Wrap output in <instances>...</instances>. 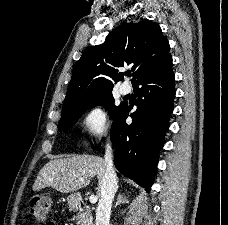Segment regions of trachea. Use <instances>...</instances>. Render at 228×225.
Returning a JSON list of instances; mask_svg holds the SVG:
<instances>
[{"instance_id":"3493384b","label":"trachea","mask_w":228,"mask_h":225,"mask_svg":"<svg viewBox=\"0 0 228 225\" xmlns=\"http://www.w3.org/2000/svg\"><path fill=\"white\" fill-rule=\"evenodd\" d=\"M127 75L130 76L131 75V72L127 73Z\"/></svg>"}]
</instances>
